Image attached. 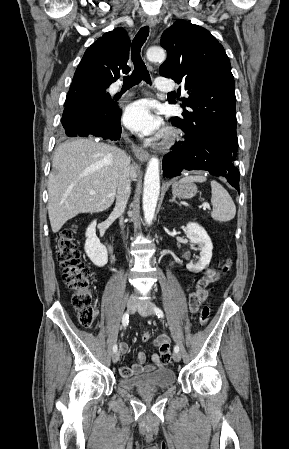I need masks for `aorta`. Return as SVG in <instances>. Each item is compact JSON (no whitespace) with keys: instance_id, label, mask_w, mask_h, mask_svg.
<instances>
[{"instance_id":"obj_1","label":"aorta","mask_w":289,"mask_h":449,"mask_svg":"<svg viewBox=\"0 0 289 449\" xmlns=\"http://www.w3.org/2000/svg\"><path fill=\"white\" fill-rule=\"evenodd\" d=\"M147 59L151 62H163L166 59V53L163 48L151 47L147 51ZM159 193V159L157 157H152L145 173L143 193V211L145 220L148 224H150L154 218Z\"/></svg>"}]
</instances>
